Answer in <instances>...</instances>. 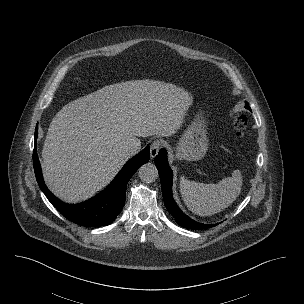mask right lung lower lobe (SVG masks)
<instances>
[{
  "label": "right lung lower lobe",
  "instance_id": "obj_1",
  "mask_svg": "<svg viewBox=\"0 0 304 304\" xmlns=\"http://www.w3.org/2000/svg\"><path fill=\"white\" fill-rule=\"evenodd\" d=\"M38 135V126L35 130V141ZM150 158V149L144 150L130 159L118 173L111 184L95 197L80 204H65L55 197L46 187L36 144L33 150V165L39 187L51 204L68 220L82 226H106L112 223L121 212L126 195V186L130 178L139 167L147 163Z\"/></svg>",
  "mask_w": 304,
  "mask_h": 304
}]
</instances>
